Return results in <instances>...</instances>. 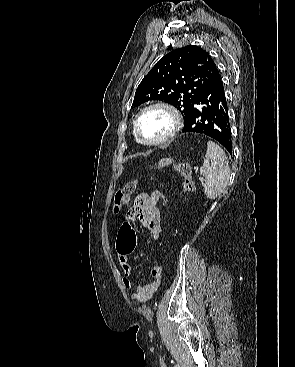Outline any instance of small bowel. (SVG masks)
Returning a JSON list of instances; mask_svg holds the SVG:
<instances>
[{
  "label": "small bowel",
  "mask_w": 295,
  "mask_h": 367,
  "mask_svg": "<svg viewBox=\"0 0 295 367\" xmlns=\"http://www.w3.org/2000/svg\"><path fill=\"white\" fill-rule=\"evenodd\" d=\"M162 194L154 190L150 193H142L134 201V205L126 216V221L132 222L138 220L143 227L151 234L155 242L159 240L161 233V213L159 209V200ZM134 248V247H133ZM133 248L122 249L119 243V236L116 243V253L119 265L123 271V286L131 291L133 301L140 304L151 300L154 293L158 290L162 282L163 268L154 266L151 270V275L154 278L153 282L145 283L134 287L130 275L132 271L129 254Z\"/></svg>",
  "instance_id": "c3829d8e"
}]
</instances>
